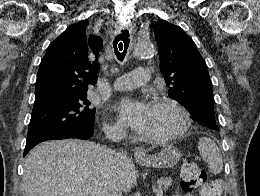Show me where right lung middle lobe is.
Wrapping results in <instances>:
<instances>
[{
	"label": "right lung middle lobe",
	"instance_id": "obj_1",
	"mask_svg": "<svg viewBox=\"0 0 260 196\" xmlns=\"http://www.w3.org/2000/svg\"><path fill=\"white\" fill-rule=\"evenodd\" d=\"M89 105L87 93L61 95L34 105L26 147L93 126L95 109Z\"/></svg>",
	"mask_w": 260,
	"mask_h": 196
}]
</instances>
